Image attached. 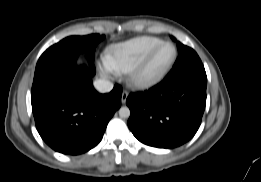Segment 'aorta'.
I'll return each mask as SVG.
<instances>
[{
  "instance_id": "1",
  "label": "aorta",
  "mask_w": 261,
  "mask_h": 182,
  "mask_svg": "<svg viewBox=\"0 0 261 182\" xmlns=\"http://www.w3.org/2000/svg\"><path fill=\"white\" fill-rule=\"evenodd\" d=\"M119 116L121 118H128L130 116V109L127 106H123L119 109Z\"/></svg>"
}]
</instances>
